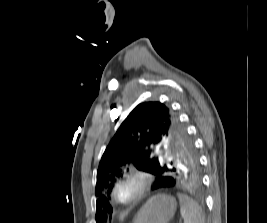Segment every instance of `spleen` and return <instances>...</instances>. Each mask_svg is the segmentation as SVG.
<instances>
[{"instance_id": "1", "label": "spleen", "mask_w": 267, "mask_h": 223, "mask_svg": "<svg viewBox=\"0 0 267 223\" xmlns=\"http://www.w3.org/2000/svg\"><path fill=\"white\" fill-rule=\"evenodd\" d=\"M180 213L184 223H205V216L201 207L185 194H178Z\"/></svg>"}]
</instances>
